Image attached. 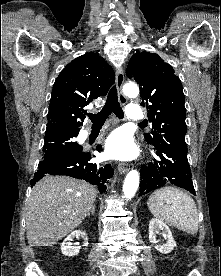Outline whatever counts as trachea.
I'll return each mask as SVG.
<instances>
[{
	"label": "trachea",
	"mask_w": 221,
	"mask_h": 276,
	"mask_svg": "<svg viewBox=\"0 0 221 276\" xmlns=\"http://www.w3.org/2000/svg\"><path fill=\"white\" fill-rule=\"evenodd\" d=\"M112 112L120 119L124 117L123 110L118 102L115 86L110 89L102 110L97 114H89L88 117L93 122V125H102Z\"/></svg>",
	"instance_id": "1"
}]
</instances>
